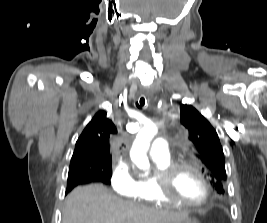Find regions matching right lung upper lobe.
Here are the masks:
<instances>
[{"mask_svg":"<svg viewBox=\"0 0 267 223\" xmlns=\"http://www.w3.org/2000/svg\"><path fill=\"white\" fill-rule=\"evenodd\" d=\"M117 129L106 112H98L85 127L78 138L70 166L86 165V172L99 173L106 176L112 171L108 141Z\"/></svg>","mask_w":267,"mask_h":223,"instance_id":"obj_1","label":"right lung upper lobe"}]
</instances>
